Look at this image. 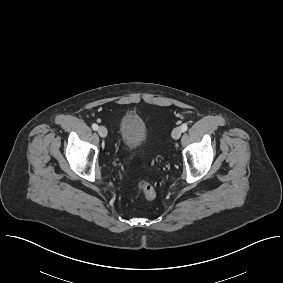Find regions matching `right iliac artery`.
Segmentation results:
<instances>
[{"mask_svg": "<svg viewBox=\"0 0 283 283\" xmlns=\"http://www.w3.org/2000/svg\"><path fill=\"white\" fill-rule=\"evenodd\" d=\"M92 128H93V130H97L98 129V125L97 124H92Z\"/></svg>", "mask_w": 283, "mask_h": 283, "instance_id": "right-iliac-artery-1", "label": "right iliac artery"}]
</instances>
